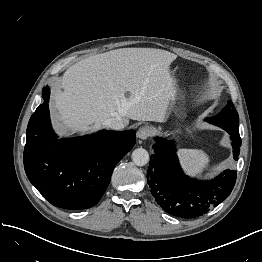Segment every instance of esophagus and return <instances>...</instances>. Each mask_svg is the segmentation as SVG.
I'll use <instances>...</instances> for the list:
<instances>
[{"label":"esophagus","mask_w":262,"mask_h":262,"mask_svg":"<svg viewBox=\"0 0 262 262\" xmlns=\"http://www.w3.org/2000/svg\"><path fill=\"white\" fill-rule=\"evenodd\" d=\"M150 135H151V131H150V128L148 126L140 127L138 132H137V137L139 139H142V140L149 138Z\"/></svg>","instance_id":"1"}]
</instances>
